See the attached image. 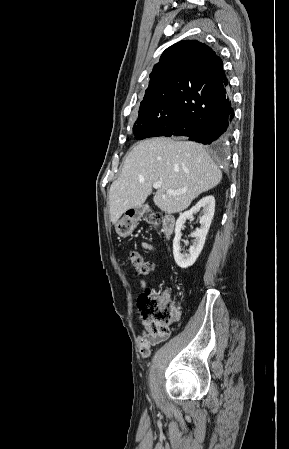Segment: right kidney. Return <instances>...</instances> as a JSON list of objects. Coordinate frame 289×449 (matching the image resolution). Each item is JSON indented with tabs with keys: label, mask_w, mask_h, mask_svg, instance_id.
I'll return each instance as SVG.
<instances>
[{
	"label": "right kidney",
	"mask_w": 289,
	"mask_h": 449,
	"mask_svg": "<svg viewBox=\"0 0 289 449\" xmlns=\"http://www.w3.org/2000/svg\"><path fill=\"white\" fill-rule=\"evenodd\" d=\"M202 209L203 215L200 217V228L191 234L195 238L193 245L189 248L188 254H182L180 252V240H181V229L187 219L193 218V214L197 213ZM215 212V198L212 195L203 197L195 206L190 210L180 214L176 221L175 227V237L173 240V255L176 264L182 268L186 269L192 266L200 255L203 246L205 244L206 236L209 231L213 216Z\"/></svg>",
	"instance_id": "obj_1"
}]
</instances>
